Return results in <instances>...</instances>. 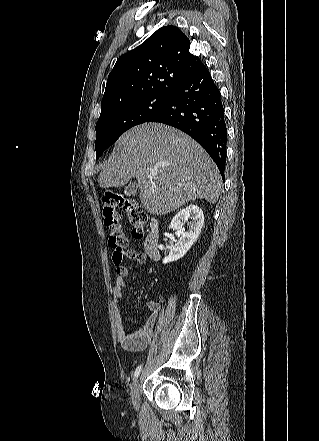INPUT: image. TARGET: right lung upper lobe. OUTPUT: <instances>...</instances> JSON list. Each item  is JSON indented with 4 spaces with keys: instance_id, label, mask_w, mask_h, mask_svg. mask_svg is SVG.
<instances>
[{
    "instance_id": "1",
    "label": "right lung upper lobe",
    "mask_w": 319,
    "mask_h": 441,
    "mask_svg": "<svg viewBox=\"0 0 319 441\" xmlns=\"http://www.w3.org/2000/svg\"><path fill=\"white\" fill-rule=\"evenodd\" d=\"M190 44L178 27L166 26L120 56L109 74L102 110L143 97H170L182 82L205 67L191 53Z\"/></svg>"
}]
</instances>
